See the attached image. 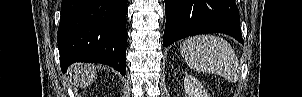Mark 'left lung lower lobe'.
Instances as JSON below:
<instances>
[{
    "label": "left lung lower lobe",
    "mask_w": 302,
    "mask_h": 97,
    "mask_svg": "<svg viewBox=\"0 0 302 97\" xmlns=\"http://www.w3.org/2000/svg\"><path fill=\"white\" fill-rule=\"evenodd\" d=\"M165 47L182 38L208 32L224 33L243 44L234 0H165Z\"/></svg>",
    "instance_id": "0a47b994"
}]
</instances>
